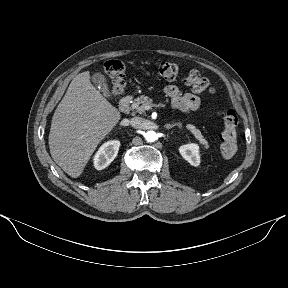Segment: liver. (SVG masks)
Segmentation results:
<instances>
[{
    "label": "liver",
    "instance_id": "obj_1",
    "mask_svg": "<svg viewBox=\"0 0 288 288\" xmlns=\"http://www.w3.org/2000/svg\"><path fill=\"white\" fill-rule=\"evenodd\" d=\"M121 118L90 82L85 71L71 81L51 121L49 148L53 160L71 177H79L97 146Z\"/></svg>",
    "mask_w": 288,
    "mask_h": 288
}]
</instances>
